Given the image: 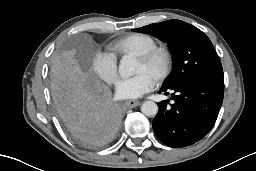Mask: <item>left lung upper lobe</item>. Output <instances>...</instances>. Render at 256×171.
I'll return each instance as SVG.
<instances>
[{
    "label": "left lung upper lobe",
    "mask_w": 256,
    "mask_h": 171,
    "mask_svg": "<svg viewBox=\"0 0 256 171\" xmlns=\"http://www.w3.org/2000/svg\"><path fill=\"white\" fill-rule=\"evenodd\" d=\"M167 43L173 54V70L162 88L190 78L223 79L222 65L209 38L198 28L180 20H168L133 29Z\"/></svg>",
    "instance_id": "obj_1"
}]
</instances>
